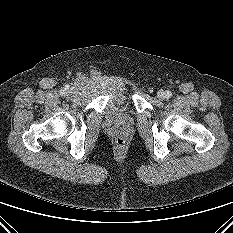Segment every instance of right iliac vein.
I'll use <instances>...</instances> for the list:
<instances>
[{"label":"right iliac vein","mask_w":233,"mask_h":233,"mask_svg":"<svg viewBox=\"0 0 233 233\" xmlns=\"http://www.w3.org/2000/svg\"><path fill=\"white\" fill-rule=\"evenodd\" d=\"M65 97H66V99H71V98L74 97V94H73V92L71 90H68L65 93Z\"/></svg>","instance_id":"63e3f726"}]
</instances>
